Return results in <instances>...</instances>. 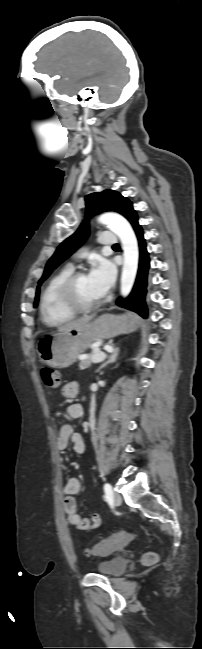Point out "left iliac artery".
I'll return each instance as SVG.
<instances>
[{
    "label": "left iliac artery",
    "mask_w": 202,
    "mask_h": 649,
    "mask_svg": "<svg viewBox=\"0 0 202 649\" xmlns=\"http://www.w3.org/2000/svg\"><path fill=\"white\" fill-rule=\"evenodd\" d=\"M104 491H105V496L107 499H111L113 496V490L112 487L109 483L104 484Z\"/></svg>",
    "instance_id": "obj_1"
}]
</instances>
